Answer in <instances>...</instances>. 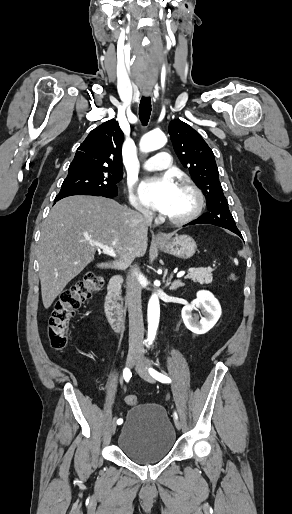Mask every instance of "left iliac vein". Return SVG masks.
<instances>
[{"label": "left iliac vein", "mask_w": 292, "mask_h": 514, "mask_svg": "<svg viewBox=\"0 0 292 514\" xmlns=\"http://www.w3.org/2000/svg\"><path fill=\"white\" fill-rule=\"evenodd\" d=\"M136 371L140 375L141 378H143L145 381L149 383H154L153 377L150 375L146 365L142 361H138L136 365ZM175 426L178 430L181 429V423L179 420H175Z\"/></svg>", "instance_id": "obj_1"}]
</instances>
